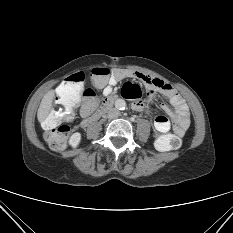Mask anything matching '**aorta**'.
<instances>
[{
    "instance_id": "obj_1",
    "label": "aorta",
    "mask_w": 233,
    "mask_h": 233,
    "mask_svg": "<svg viewBox=\"0 0 233 233\" xmlns=\"http://www.w3.org/2000/svg\"><path fill=\"white\" fill-rule=\"evenodd\" d=\"M116 106L118 109H124L125 108V101L122 99H119L116 101Z\"/></svg>"
}]
</instances>
